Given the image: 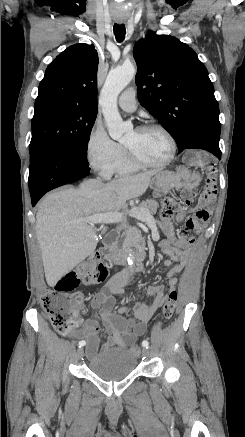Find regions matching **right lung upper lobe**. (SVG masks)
Segmentation results:
<instances>
[{"mask_svg": "<svg viewBox=\"0 0 245 437\" xmlns=\"http://www.w3.org/2000/svg\"><path fill=\"white\" fill-rule=\"evenodd\" d=\"M98 54L93 45L75 44L47 67L35 106L58 103L97 110Z\"/></svg>", "mask_w": 245, "mask_h": 437, "instance_id": "right-lung-upper-lobe-1", "label": "right lung upper lobe"}]
</instances>
